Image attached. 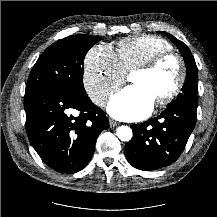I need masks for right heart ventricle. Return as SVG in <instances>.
I'll list each match as a JSON object with an SVG mask.
<instances>
[{"label":"right heart ventricle","mask_w":217,"mask_h":217,"mask_svg":"<svg viewBox=\"0 0 217 217\" xmlns=\"http://www.w3.org/2000/svg\"><path fill=\"white\" fill-rule=\"evenodd\" d=\"M172 51V45L154 35H141L118 41L116 57L127 73L152 60L159 54Z\"/></svg>","instance_id":"e07e8e85"}]
</instances>
